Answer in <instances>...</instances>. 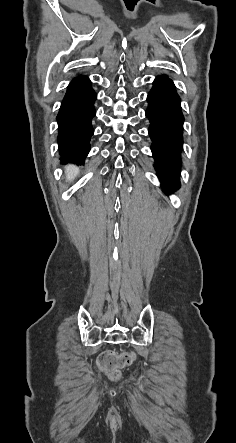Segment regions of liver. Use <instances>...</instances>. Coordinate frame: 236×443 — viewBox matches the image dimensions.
<instances>
[{
  "label": "liver",
  "mask_w": 236,
  "mask_h": 443,
  "mask_svg": "<svg viewBox=\"0 0 236 443\" xmlns=\"http://www.w3.org/2000/svg\"><path fill=\"white\" fill-rule=\"evenodd\" d=\"M79 173V169L74 165H68L66 167V179L72 181Z\"/></svg>",
  "instance_id": "6515ba94"
}]
</instances>
